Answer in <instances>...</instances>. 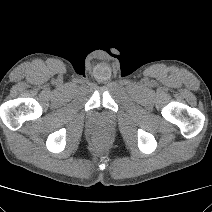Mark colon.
Instances as JSON below:
<instances>
[{
	"instance_id": "5ec220e1",
	"label": "colon",
	"mask_w": 212,
	"mask_h": 212,
	"mask_svg": "<svg viewBox=\"0 0 212 212\" xmlns=\"http://www.w3.org/2000/svg\"><path fill=\"white\" fill-rule=\"evenodd\" d=\"M96 141L97 144H102L105 141V137L103 135H98Z\"/></svg>"
}]
</instances>
